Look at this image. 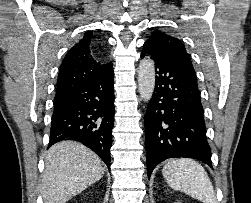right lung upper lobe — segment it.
<instances>
[{"instance_id":"1","label":"right lung upper lobe","mask_w":251,"mask_h":203,"mask_svg":"<svg viewBox=\"0 0 251 203\" xmlns=\"http://www.w3.org/2000/svg\"><path fill=\"white\" fill-rule=\"evenodd\" d=\"M92 36L91 31L87 32L66 54L60 66L55 98L61 97L84 82L100 76L111 67V63L101 64L93 58Z\"/></svg>"}]
</instances>
